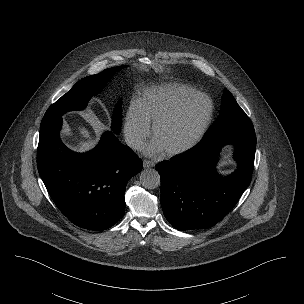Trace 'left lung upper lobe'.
<instances>
[{
	"label": "left lung upper lobe",
	"mask_w": 304,
	"mask_h": 304,
	"mask_svg": "<svg viewBox=\"0 0 304 304\" xmlns=\"http://www.w3.org/2000/svg\"><path fill=\"white\" fill-rule=\"evenodd\" d=\"M230 131H254V127L232 94L224 90L220 115L203 139Z\"/></svg>",
	"instance_id": "5c2ea615"
}]
</instances>
